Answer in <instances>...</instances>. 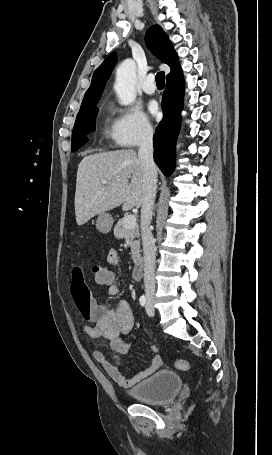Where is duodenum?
<instances>
[{
	"label": "duodenum",
	"instance_id": "1",
	"mask_svg": "<svg viewBox=\"0 0 272 455\" xmlns=\"http://www.w3.org/2000/svg\"><path fill=\"white\" fill-rule=\"evenodd\" d=\"M144 260L141 256H138L135 260V264L132 271V277L135 280H139L143 273Z\"/></svg>",
	"mask_w": 272,
	"mask_h": 455
}]
</instances>
